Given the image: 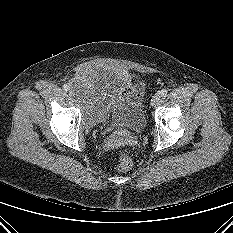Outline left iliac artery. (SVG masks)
<instances>
[{"label": "left iliac artery", "mask_w": 233, "mask_h": 233, "mask_svg": "<svg viewBox=\"0 0 233 233\" xmlns=\"http://www.w3.org/2000/svg\"><path fill=\"white\" fill-rule=\"evenodd\" d=\"M167 93H168V90H167V89H162V90L160 91V94H161L162 96H166Z\"/></svg>", "instance_id": "1"}]
</instances>
